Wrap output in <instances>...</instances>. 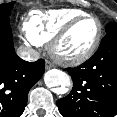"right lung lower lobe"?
<instances>
[{
	"label": "right lung lower lobe",
	"mask_w": 117,
	"mask_h": 117,
	"mask_svg": "<svg viewBox=\"0 0 117 117\" xmlns=\"http://www.w3.org/2000/svg\"><path fill=\"white\" fill-rule=\"evenodd\" d=\"M44 71L43 59L27 62L16 55L9 17H0V117H20Z\"/></svg>",
	"instance_id": "obj_1"
}]
</instances>
